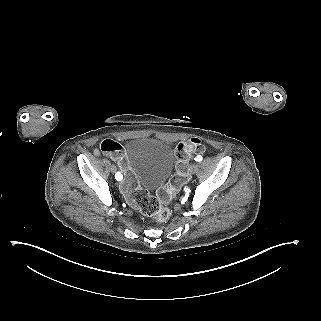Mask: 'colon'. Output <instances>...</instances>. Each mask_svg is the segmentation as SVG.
Returning a JSON list of instances; mask_svg holds the SVG:
<instances>
[{
  "mask_svg": "<svg viewBox=\"0 0 321 321\" xmlns=\"http://www.w3.org/2000/svg\"><path fill=\"white\" fill-rule=\"evenodd\" d=\"M100 151L111 157L122 172L123 179L120 182V189L127 202L151 220L163 222L170 217V210L162 202L167 203L173 199L186 179L191 159L196 154L203 153L205 147L198 138H191L176 146V172L169 183L158 190V198L139 186L130 169L124 147L120 143L106 139L101 143Z\"/></svg>",
  "mask_w": 321,
  "mask_h": 321,
  "instance_id": "5ec220e1",
  "label": "colon"
}]
</instances>
